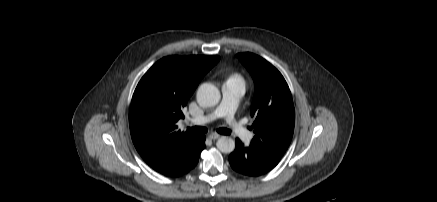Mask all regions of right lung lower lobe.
I'll return each instance as SVG.
<instances>
[{"label": "right lung lower lobe", "mask_w": 437, "mask_h": 202, "mask_svg": "<svg viewBox=\"0 0 437 202\" xmlns=\"http://www.w3.org/2000/svg\"><path fill=\"white\" fill-rule=\"evenodd\" d=\"M205 148V136L199 135L183 156L161 171L167 177H179L191 171L198 163L200 152Z\"/></svg>", "instance_id": "98d812e1"}]
</instances>
